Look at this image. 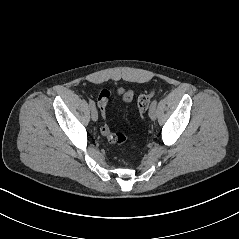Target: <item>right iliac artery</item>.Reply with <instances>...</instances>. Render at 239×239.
Instances as JSON below:
<instances>
[{
  "mask_svg": "<svg viewBox=\"0 0 239 239\" xmlns=\"http://www.w3.org/2000/svg\"><path fill=\"white\" fill-rule=\"evenodd\" d=\"M89 106H90V108H95V103L91 99H89Z\"/></svg>",
  "mask_w": 239,
  "mask_h": 239,
  "instance_id": "obj_1",
  "label": "right iliac artery"
}]
</instances>
